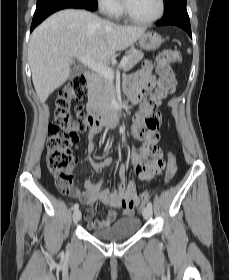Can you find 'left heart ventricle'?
Segmentation results:
<instances>
[{
    "instance_id": "left-heart-ventricle-1",
    "label": "left heart ventricle",
    "mask_w": 229,
    "mask_h": 280,
    "mask_svg": "<svg viewBox=\"0 0 229 280\" xmlns=\"http://www.w3.org/2000/svg\"><path fill=\"white\" fill-rule=\"evenodd\" d=\"M128 11L135 17L145 19L155 15L159 9L158 0H124Z\"/></svg>"
}]
</instances>
